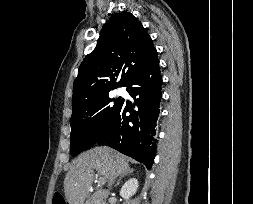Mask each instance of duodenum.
<instances>
[{
    "label": "duodenum",
    "instance_id": "obj_1",
    "mask_svg": "<svg viewBox=\"0 0 253 204\" xmlns=\"http://www.w3.org/2000/svg\"><path fill=\"white\" fill-rule=\"evenodd\" d=\"M107 196L108 194L105 191H96L92 195V200H103V199H106Z\"/></svg>",
    "mask_w": 253,
    "mask_h": 204
}]
</instances>
